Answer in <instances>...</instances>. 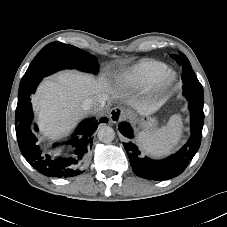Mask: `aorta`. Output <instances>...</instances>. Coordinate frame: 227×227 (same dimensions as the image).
<instances>
[{
	"instance_id": "aorta-1",
	"label": "aorta",
	"mask_w": 227,
	"mask_h": 227,
	"mask_svg": "<svg viewBox=\"0 0 227 227\" xmlns=\"http://www.w3.org/2000/svg\"><path fill=\"white\" fill-rule=\"evenodd\" d=\"M115 138V131L110 126H103L98 131V139L103 143H110Z\"/></svg>"
}]
</instances>
